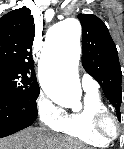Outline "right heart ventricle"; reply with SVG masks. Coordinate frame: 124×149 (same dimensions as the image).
<instances>
[{"instance_id": "obj_1", "label": "right heart ventricle", "mask_w": 124, "mask_h": 149, "mask_svg": "<svg viewBox=\"0 0 124 149\" xmlns=\"http://www.w3.org/2000/svg\"><path fill=\"white\" fill-rule=\"evenodd\" d=\"M108 110L97 91H85L80 109L65 112L55 131L94 148H105L110 141L99 136L94 128V117L98 112Z\"/></svg>"}]
</instances>
